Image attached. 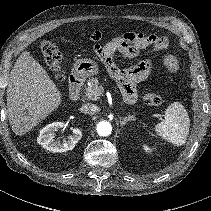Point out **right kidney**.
Segmentation results:
<instances>
[{
    "label": "right kidney",
    "instance_id": "1",
    "mask_svg": "<svg viewBox=\"0 0 211 211\" xmlns=\"http://www.w3.org/2000/svg\"><path fill=\"white\" fill-rule=\"evenodd\" d=\"M66 126L67 124L63 122H55L45 126L44 128H42L37 138L38 144L41 145L44 149L51 152L62 153L68 150H72L75 147L76 143H78V141L82 137V132L80 129L74 128L73 135L70 137L69 140L60 142L54 139L56 132L63 127L65 128Z\"/></svg>",
    "mask_w": 211,
    "mask_h": 211
}]
</instances>
